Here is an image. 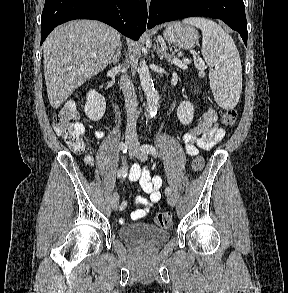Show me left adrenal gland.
Segmentation results:
<instances>
[{
    "label": "left adrenal gland",
    "mask_w": 288,
    "mask_h": 293,
    "mask_svg": "<svg viewBox=\"0 0 288 293\" xmlns=\"http://www.w3.org/2000/svg\"><path fill=\"white\" fill-rule=\"evenodd\" d=\"M157 54L160 59H166L167 62L171 61V55L165 51V46L158 47Z\"/></svg>",
    "instance_id": "left-adrenal-gland-1"
}]
</instances>
